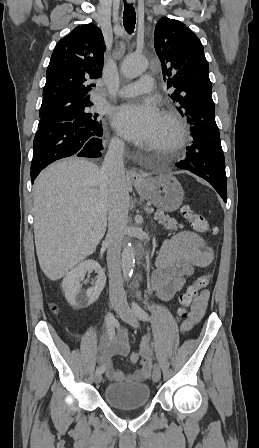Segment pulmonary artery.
Wrapping results in <instances>:
<instances>
[{
  "mask_svg": "<svg viewBox=\"0 0 259 448\" xmlns=\"http://www.w3.org/2000/svg\"><path fill=\"white\" fill-rule=\"evenodd\" d=\"M136 54H128L124 57V59L121 62V70L123 72L124 75L128 76V77H138L140 76L144 70L145 67L140 65L137 61H136ZM142 78L146 79V80H152L153 78L149 75H144L142 76ZM101 91V90H100ZM146 89H136L133 87L132 84H126L120 87L119 89V96L121 97H130V96H134V95H138L141 94L143 92H145Z\"/></svg>",
  "mask_w": 259,
  "mask_h": 448,
  "instance_id": "pulmonary-artery-1",
  "label": "pulmonary artery"
}]
</instances>
